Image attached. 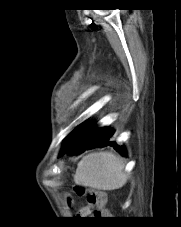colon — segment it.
Segmentation results:
<instances>
[{"label": "colon", "instance_id": "obj_1", "mask_svg": "<svg viewBox=\"0 0 181 227\" xmlns=\"http://www.w3.org/2000/svg\"><path fill=\"white\" fill-rule=\"evenodd\" d=\"M73 191L78 197H87V202L89 205H95L96 210L94 211L95 217L107 218L109 212L106 208L107 196L106 193L96 189H87L81 185H75ZM71 203V199H69Z\"/></svg>", "mask_w": 181, "mask_h": 227}]
</instances>
